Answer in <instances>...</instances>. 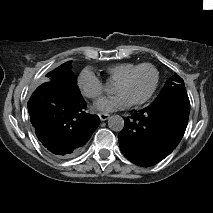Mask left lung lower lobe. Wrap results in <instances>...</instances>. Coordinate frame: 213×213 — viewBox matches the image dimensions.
I'll list each match as a JSON object with an SVG mask.
<instances>
[{
    "label": "left lung lower lobe",
    "instance_id": "0a47b994",
    "mask_svg": "<svg viewBox=\"0 0 213 213\" xmlns=\"http://www.w3.org/2000/svg\"><path fill=\"white\" fill-rule=\"evenodd\" d=\"M189 109L179 101L167 100L125 118L124 129L118 135L124 156L144 167L164 159L183 137Z\"/></svg>",
    "mask_w": 213,
    "mask_h": 213
}]
</instances>
